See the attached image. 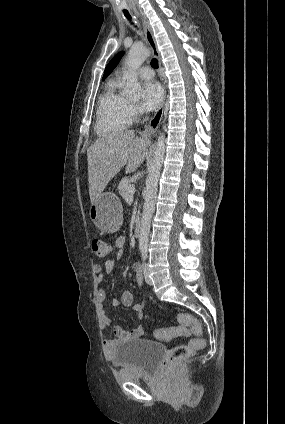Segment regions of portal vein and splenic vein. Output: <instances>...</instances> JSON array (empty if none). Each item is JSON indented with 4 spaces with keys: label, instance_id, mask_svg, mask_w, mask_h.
<instances>
[{
    "label": "portal vein and splenic vein",
    "instance_id": "18ae733b",
    "mask_svg": "<svg viewBox=\"0 0 285 424\" xmlns=\"http://www.w3.org/2000/svg\"><path fill=\"white\" fill-rule=\"evenodd\" d=\"M129 194H130V196L129 197H132L133 196V194L135 193V187L132 185V186H130L129 187Z\"/></svg>",
    "mask_w": 285,
    "mask_h": 424
}]
</instances>
